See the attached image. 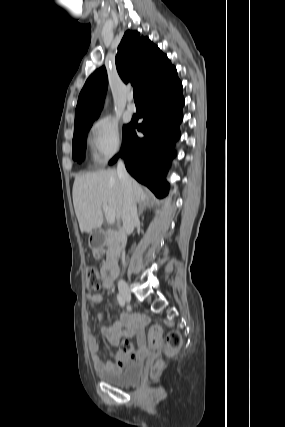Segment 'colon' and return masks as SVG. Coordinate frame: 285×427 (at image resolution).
I'll return each instance as SVG.
<instances>
[{
	"mask_svg": "<svg viewBox=\"0 0 285 427\" xmlns=\"http://www.w3.org/2000/svg\"><path fill=\"white\" fill-rule=\"evenodd\" d=\"M96 245H100V241H96ZM86 284L87 287L91 290L99 289L102 286V281L93 267H87L86 269ZM161 343V328L157 325L151 326L148 333V349H156L160 346ZM181 336L177 331H171L168 333L166 338V349L168 353L177 351L181 347ZM123 353L133 358L135 356V351L133 350L130 344H125L123 348ZM163 367V361L159 360L151 370V376L156 377L160 370Z\"/></svg>",
	"mask_w": 285,
	"mask_h": 427,
	"instance_id": "5ec220e1",
	"label": "colon"
}]
</instances>
